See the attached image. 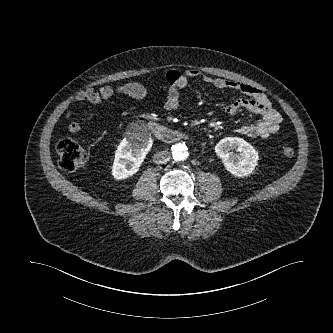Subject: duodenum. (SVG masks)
<instances>
[{
    "label": "duodenum",
    "mask_w": 333,
    "mask_h": 333,
    "mask_svg": "<svg viewBox=\"0 0 333 333\" xmlns=\"http://www.w3.org/2000/svg\"><path fill=\"white\" fill-rule=\"evenodd\" d=\"M147 128L157 139L166 143H174L186 139V135L182 132L170 129L157 122H150Z\"/></svg>",
    "instance_id": "duodenum-1"
}]
</instances>
